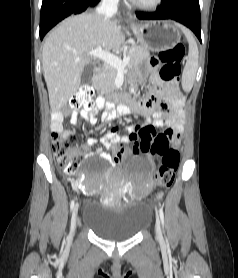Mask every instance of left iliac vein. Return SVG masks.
Returning <instances> with one entry per match:
<instances>
[{
    "mask_svg": "<svg viewBox=\"0 0 238 278\" xmlns=\"http://www.w3.org/2000/svg\"><path fill=\"white\" fill-rule=\"evenodd\" d=\"M155 231H156L157 238H161L162 237V231H161V224H160L159 217L156 219Z\"/></svg>",
    "mask_w": 238,
    "mask_h": 278,
    "instance_id": "left-iliac-vein-1",
    "label": "left iliac vein"
}]
</instances>
